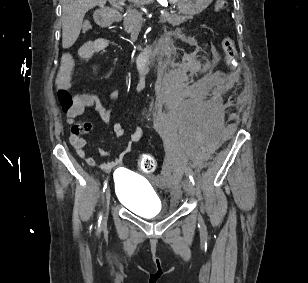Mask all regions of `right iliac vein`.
Masks as SVG:
<instances>
[{"label": "right iliac vein", "instance_id": "right-iliac-vein-1", "mask_svg": "<svg viewBox=\"0 0 308 283\" xmlns=\"http://www.w3.org/2000/svg\"><path fill=\"white\" fill-rule=\"evenodd\" d=\"M110 197H111V192H110V188L108 187L106 189L105 195H104V198H105V201H106L105 214L107 213V209H108L109 202H110Z\"/></svg>", "mask_w": 308, "mask_h": 283}]
</instances>
